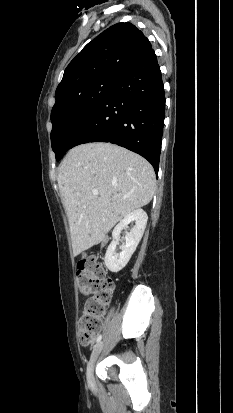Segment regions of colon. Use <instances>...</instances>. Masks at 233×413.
<instances>
[{
  "label": "colon",
  "instance_id": "obj_1",
  "mask_svg": "<svg viewBox=\"0 0 233 413\" xmlns=\"http://www.w3.org/2000/svg\"><path fill=\"white\" fill-rule=\"evenodd\" d=\"M77 279L82 294L88 295L85 308L79 320L78 338L82 345H90L101 326V319L110 301L114 284L106 277L99 259L84 255L77 264Z\"/></svg>",
  "mask_w": 233,
  "mask_h": 413
}]
</instances>
